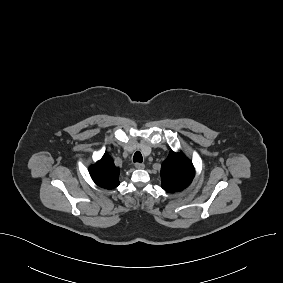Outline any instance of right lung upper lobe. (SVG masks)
<instances>
[{
    "instance_id": "right-lung-upper-lobe-1",
    "label": "right lung upper lobe",
    "mask_w": 283,
    "mask_h": 283,
    "mask_svg": "<svg viewBox=\"0 0 283 283\" xmlns=\"http://www.w3.org/2000/svg\"><path fill=\"white\" fill-rule=\"evenodd\" d=\"M94 182L103 188L113 189L119 185V168L115 167L113 159L104 154L102 159L89 168Z\"/></svg>"
}]
</instances>
